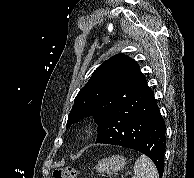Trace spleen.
Wrapping results in <instances>:
<instances>
[{
	"mask_svg": "<svg viewBox=\"0 0 194 178\" xmlns=\"http://www.w3.org/2000/svg\"><path fill=\"white\" fill-rule=\"evenodd\" d=\"M134 178H159L154 163L145 155H141L134 165Z\"/></svg>",
	"mask_w": 194,
	"mask_h": 178,
	"instance_id": "obj_1",
	"label": "spleen"
}]
</instances>
